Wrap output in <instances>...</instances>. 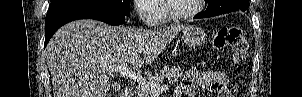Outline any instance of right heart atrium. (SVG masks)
Segmentation results:
<instances>
[{
    "label": "right heart atrium",
    "instance_id": "obj_1",
    "mask_svg": "<svg viewBox=\"0 0 302 97\" xmlns=\"http://www.w3.org/2000/svg\"><path fill=\"white\" fill-rule=\"evenodd\" d=\"M136 13L144 24L154 25L160 21V8L156 0H136Z\"/></svg>",
    "mask_w": 302,
    "mask_h": 97
}]
</instances>
